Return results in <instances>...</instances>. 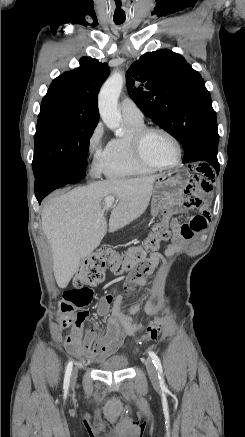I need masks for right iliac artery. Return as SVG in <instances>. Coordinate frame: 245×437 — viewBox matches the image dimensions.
<instances>
[{"label": "right iliac artery", "mask_w": 245, "mask_h": 437, "mask_svg": "<svg viewBox=\"0 0 245 437\" xmlns=\"http://www.w3.org/2000/svg\"><path fill=\"white\" fill-rule=\"evenodd\" d=\"M72 367H73V363H72V361H70L66 367L65 377H64V387L63 388H64L65 392H67L68 388H69Z\"/></svg>", "instance_id": "obj_1"}]
</instances>
